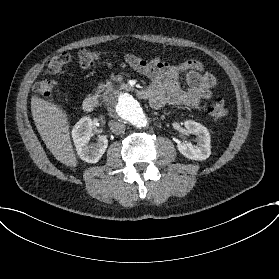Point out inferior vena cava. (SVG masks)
Segmentation results:
<instances>
[{
	"label": "inferior vena cava",
	"instance_id": "obj_1",
	"mask_svg": "<svg viewBox=\"0 0 279 279\" xmlns=\"http://www.w3.org/2000/svg\"><path fill=\"white\" fill-rule=\"evenodd\" d=\"M108 125L114 134L119 135L125 132V124L122 122L111 120Z\"/></svg>",
	"mask_w": 279,
	"mask_h": 279
}]
</instances>
